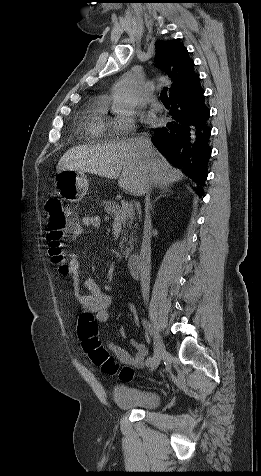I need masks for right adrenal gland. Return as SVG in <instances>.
<instances>
[{"label": "right adrenal gland", "mask_w": 261, "mask_h": 476, "mask_svg": "<svg viewBox=\"0 0 261 476\" xmlns=\"http://www.w3.org/2000/svg\"><path fill=\"white\" fill-rule=\"evenodd\" d=\"M158 190L160 191L159 192V196H157L154 200V202H156L158 199H160L161 197H164L166 196L167 193H170L171 192V189L169 186H163V187H159ZM146 204L149 205L150 209L152 210V207H153V203L150 201V193L147 195L146 197Z\"/></svg>", "instance_id": "2a0ac1e0"}]
</instances>
